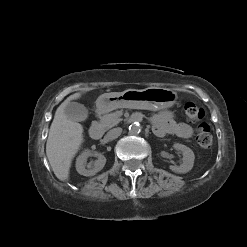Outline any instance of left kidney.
<instances>
[{
  "instance_id": "5707ae66",
  "label": "left kidney",
  "mask_w": 247,
  "mask_h": 247,
  "mask_svg": "<svg viewBox=\"0 0 247 247\" xmlns=\"http://www.w3.org/2000/svg\"><path fill=\"white\" fill-rule=\"evenodd\" d=\"M173 147L174 149L182 152L183 162L180 166H170V169L173 172L179 173V174H184V173L189 172L193 168V165H194L195 155L193 151L189 147L183 144H179V143L174 144Z\"/></svg>"
}]
</instances>
